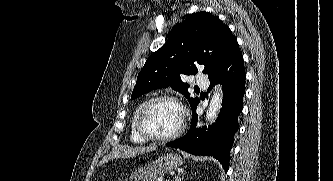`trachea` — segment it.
Returning a JSON list of instances; mask_svg holds the SVG:
<instances>
[{
  "mask_svg": "<svg viewBox=\"0 0 333 181\" xmlns=\"http://www.w3.org/2000/svg\"><path fill=\"white\" fill-rule=\"evenodd\" d=\"M196 90H199V88L197 87V88H195Z\"/></svg>",
  "mask_w": 333,
  "mask_h": 181,
  "instance_id": "obj_1",
  "label": "trachea"
}]
</instances>
